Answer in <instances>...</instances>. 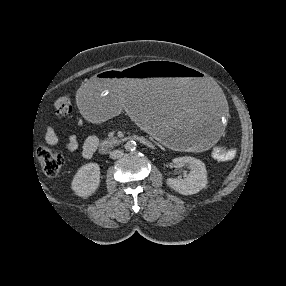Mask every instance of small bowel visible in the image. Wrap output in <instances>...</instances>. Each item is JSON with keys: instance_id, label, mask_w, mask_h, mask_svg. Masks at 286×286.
Listing matches in <instances>:
<instances>
[{"instance_id": "1", "label": "small bowel", "mask_w": 286, "mask_h": 286, "mask_svg": "<svg viewBox=\"0 0 286 286\" xmlns=\"http://www.w3.org/2000/svg\"><path fill=\"white\" fill-rule=\"evenodd\" d=\"M45 139L47 143L51 145H54L58 142V137L56 133L50 127L46 128ZM64 145L68 151L70 152L79 151L84 158L89 159L96 152L99 145V139L96 135H90L84 141L81 142L78 139L77 135L71 132L68 134ZM227 152L229 153L230 158H232L233 151L227 149Z\"/></svg>"}]
</instances>
